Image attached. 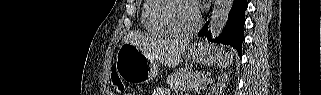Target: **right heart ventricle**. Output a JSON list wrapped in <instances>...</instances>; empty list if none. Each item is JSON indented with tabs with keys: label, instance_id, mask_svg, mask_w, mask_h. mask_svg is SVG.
<instances>
[{
	"label": "right heart ventricle",
	"instance_id": "right-heart-ventricle-1",
	"mask_svg": "<svg viewBox=\"0 0 321 95\" xmlns=\"http://www.w3.org/2000/svg\"><path fill=\"white\" fill-rule=\"evenodd\" d=\"M158 4V0L143 1L141 8V22L150 34L156 36H167L169 34L154 21L153 11Z\"/></svg>",
	"mask_w": 321,
	"mask_h": 95
}]
</instances>
